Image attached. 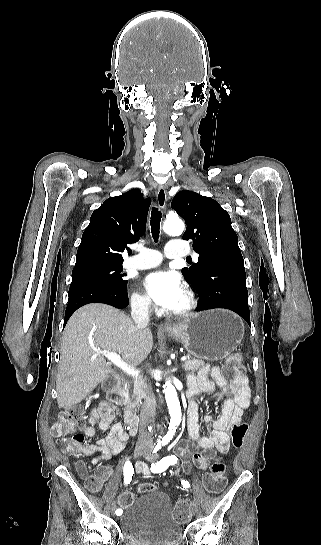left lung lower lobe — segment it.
Masks as SVG:
<instances>
[{"label":"left lung lower lobe","instance_id":"0a47b994","mask_svg":"<svg viewBox=\"0 0 321 545\" xmlns=\"http://www.w3.org/2000/svg\"><path fill=\"white\" fill-rule=\"evenodd\" d=\"M199 295L196 311L232 310L250 325L248 291L243 257L222 258L211 264L194 285Z\"/></svg>","mask_w":321,"mask_h":545}]
</instances>
